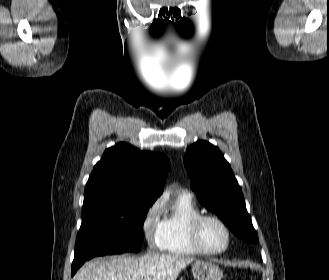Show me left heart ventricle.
Masks as SVG:
<instances>
[{
  "label": "left heart ventricle",
  "mask_w": 329,
  "mask_h": 280,
  "mask_svg": "<svg viewBox=\"0 0 329 280\" xmlns=\"http://www.w3.org/2000/svg\"><path fill=\"white\" fill-rule=\"evenodd\" d=\"M201 241L208 249H220L226 243V233L217 222L209 220L201 228Z\"/></svg>",
  "instance_id": "left-heart-ventricle-1"
}]
</instances>
